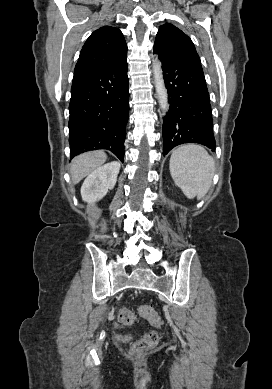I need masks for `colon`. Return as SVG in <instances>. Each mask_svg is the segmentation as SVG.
<instances>
[{
	"instance_id": "5ec220e1",
	"label": "colon",
	"mask_w": 272,
	"mask_h": 389,
	"mask_svg": "<svg viewBox=\"0 0 272 389\" xmlns=\"http://www.w3.org/2000/svg\"><path fill=\"white\" fill-rule=\"evenodd\" d=\"M139 313L144 318L148 319L153 325L159 326L161 323L160 317L154 311L151 306L141 305L139 307ZM119 322L125 326L133 325L137 317L133 311L127 308H121L118 313ZM158 342V334L155 331L146 332L143 337L136 342L132 348L131 353L133 355H140L147 350L153 348Z\"/></svg>"
}]
</instances>
